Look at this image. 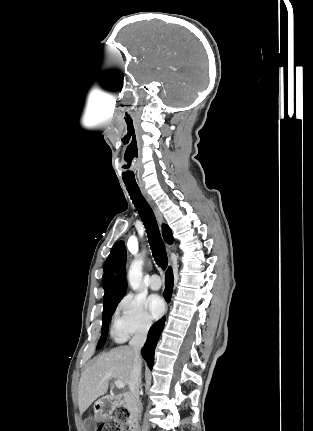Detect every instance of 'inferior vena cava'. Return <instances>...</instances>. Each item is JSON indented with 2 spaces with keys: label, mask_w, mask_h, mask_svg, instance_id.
Returning a JSON list of instances; mask_svg holds the SVG:
<instances>
[{
  "label": "inferior vena cava",
  "mask_w": 313,
  "mask_h": 431,
  "mask_svg": "<svg viewBox=\"0 0 313 431\" xmlns=\"http://www.w3.org/2000/svg\"><path fill=\"white\" fill-rule=\"evenodd\" d=\"M150 325L151 324L149 323L144 328L136 332L133 338L129 342L130 348L132 349V352H133L132 371H131L130 380L128 384L130 388L129 406L135 414H138L140 412V400H139V387L141 383L140 350L144 346Z\"/></svg>",
  "instance_id": "inferior-vena-cava-1"
}]
</instances>
